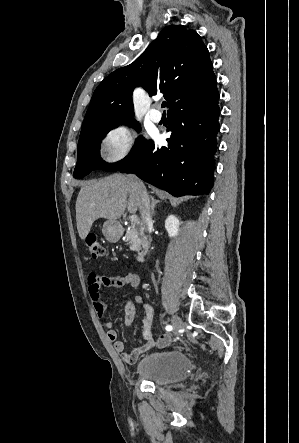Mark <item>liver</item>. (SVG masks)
<instances>
[{
    "label": "liver",
    "mask_w": 299,
    "mask_h": 443,
    "mask_svg": "<svg viewBox=\"0 0 299 443\" xmlns=\"http://www.w3.org/2000/svg\"><path fill=\"white\" fill-rule=\"evenodd\" d=\"M134 180L133 176L114 174L82 185L76 201L77 230L82 240L97 219L116 221L126 208L130 213L137 212L139 200L132 187Z\"/></svg>",
    "instance_id": "1"
}]
</instances>
